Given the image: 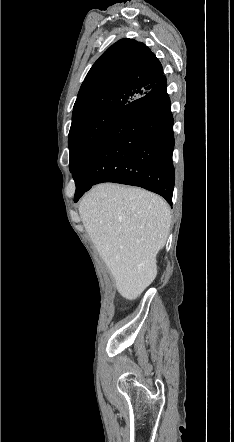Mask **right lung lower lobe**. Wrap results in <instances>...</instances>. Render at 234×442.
Listing matches in <instances>:
<instances>
[{
  "label": "right lung lower lobe",
  "instance_id": "obj_1",
  "mask_svg": "<svg viewBox=\"0 0 234 442\" xmlns=\"http://www.w3.org/2000/svg\"><path fill=\"white\" fill-rule=\"evenodd\" d=\"M162 76L143 96L129 102L73 172L74 201L101 182L139 186L172 204L175 172L173 116Z\"/></svg>",
  "mask_w": 234,
  "mask_h": 442
}]
</instances>
